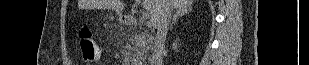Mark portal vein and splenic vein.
I'll return each mask as SVG.
<instances>
[{
  "label": "portal vein and splenic vein",
  "instance_id": "obj_1",
  "mask_svg": "<svg viewBox=\"0 0 309 65\" xmlns=\"http://www.w3.org/2000/svg\"><path fill=\"white\" fill-rule=\"evenodd\" d=\"M137 2H140V1H137ZM142 18L147 20L149 18V13L148 12H143Z\"/></svg>",
  "mask_w": 309,
  "mask_h": 65
}]
</instances>
